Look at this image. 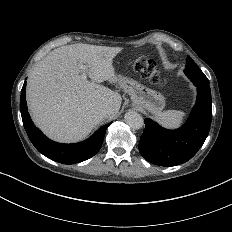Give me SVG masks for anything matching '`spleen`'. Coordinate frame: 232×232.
I'll list each match as a JSON object with an SVG mask.
<instances>
[{"instance_id":"3e777b00","label":"spleen","mask_w":232,"mask_h":232,"mask_svg":"<svg viewBox=\"0 0 232 232\" xmlns=\"http://www.w3.org/2000/svg\"><path fill=\"white\" fill-rule=\"evenodd\" d=\"M184 116L182 111L167 110L157 114L155 118L163 127L173 129L181 125Z\"/></svg>"}]
</instances>
